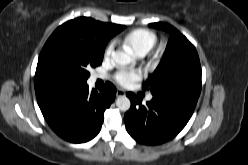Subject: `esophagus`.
Instances as JSON below:
<instances>
[{
  "mask_svg": "<svg viewBox=\"0 0 248 165\" xmlns=\"http://www.w3.org/2000/svg\"><path fill=\"white\" fill-rule=\"evenodd\" d=\"M123 95H125V91L122 90V89H117V91H116V96H117V97H120V96H123Z\"/></svg>",
  "mask_w": 248,
  "mask_h": 165,
  "instance_id": "obj_1",
  "label": "esophagus"
}]
</instances>
